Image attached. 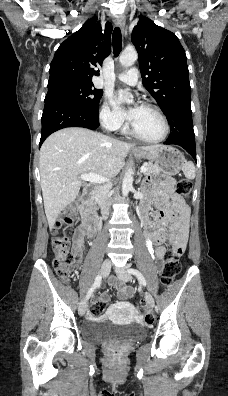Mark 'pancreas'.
<instances>
[{
  "label": "pancreas",
  "instance_id": "obj_1",
  "mask_svg": "<svg viewBox=\"0 0 228 396\" xmlns=\"http://www.w3.org/2000/svg\"><path fill=\"white\" fill-rule=\"evenodd\" d=\"M145 166H146L147 170L144 172V175H146V176L160 173L159 168L155 164L148 163V164H145Z\"/></svg>",
  "mask_w": 228,
  "mask_h": 396
}]
</instances>
